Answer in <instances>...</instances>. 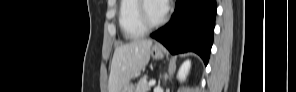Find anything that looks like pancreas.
<instances>
[{
	"label": "pancreas",
	"instance_id": "1",
	"mask_svg": "<svg viewBox=\"0 0 296 92\" xmlns=\"http://www.w3.org/2000/svg\"><path fill=\"white\" fill-rule=\"evenodd\" d=\"M149 90H150V86H149V84L147 82V76H143L139 80V82H138V84L136 86L135 92H149Z\"/></svg>",
	"mask_w": 296,
	"mask_h": 92
}]
</instances>
